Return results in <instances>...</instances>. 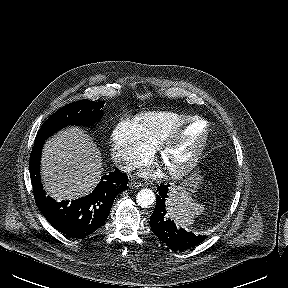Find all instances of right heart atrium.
I'll list each match as a JSON object with an SVG mask.
<instances>
[{
    "label": "right heart atrium",
    "mask_w": 288,
    "mask_h": 288,
    "mask_svg": "<svg viewBox=\"0 0 288 288\" xmlns=\"http://www.w3.org/2000/svg\"><path fill=\"white\" fill-rule=\"evenodd\" d=\"M112 152L117 164L125 170L146 163L154 148L144 137L137 121H120L112 132Z\"/></svg>",
    "instance_id": "right-heart-atrium-1"
}]
</instances>
